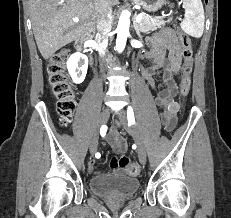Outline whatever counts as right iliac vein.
<instances>
[{
	"mask_svg": "<svg viewBox=\"0 0 231 218\" xmlns=\"http://www.w3.org/2000/svg\"><path fill=\"white\" fill-rule=\"evenodd\" d=\"M110 112L109 109L105 108L101 112L98 120V127L103 126L109 119ZM97 145H98V139L97 136L95 135L90 143V153L94 154L97 150Z\"/></svg>",
	"mask_w": 231,
	"mask_h": 218,
	"instance_id": "63e3f726",
	"label": "right iliac vein"
}]
</instances>
